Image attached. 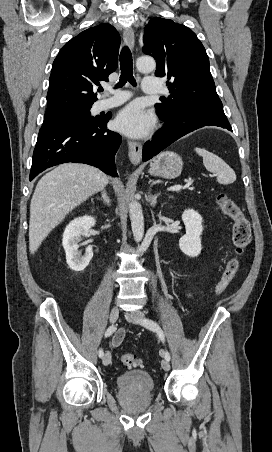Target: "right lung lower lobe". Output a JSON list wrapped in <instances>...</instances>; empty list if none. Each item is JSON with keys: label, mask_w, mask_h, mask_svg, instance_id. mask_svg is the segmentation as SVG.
I'll return each mask as SVG.
<instances>
[{"label": "right lung lower lobe", "mask_w": 272, "mask_h": 452, "mask_svg": "<svg viewBox=\"0 0 272 452\" xmlns=\"http://www.w3.org/2000/svg\"><path fill=\"white\" fill-rule=\"evenodd\" d=\"M109 119L107 116L92 121L44 119L33 152L29 180L45 169L65 162L89 164L118 177L114 159L121 136L107 129Z\"/></svg>", "instance_id": "right-lung-lower-lobe-1"}]
</instances>
